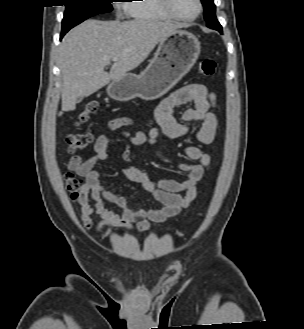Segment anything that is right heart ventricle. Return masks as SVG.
I'll use <instances>...</instances> for the list:
<instances>
[{
    "mask_svg": "<svg viewBox=\"0 0 304 329\" xmlns=\"http://www.w3.org/2000/svg\"><path fill=\"white\" fill-rule=\"evenodd\" d=\"M126 9L135 20L157 21L170 18L160 0H131L126 4Z\"/></svg>",
    "mask_w": 304,
    "mask_h": 329,
    "instance_id": "right-heart-ventricle-1",
    "label": "right heart ventricle"
}]
</instances>
